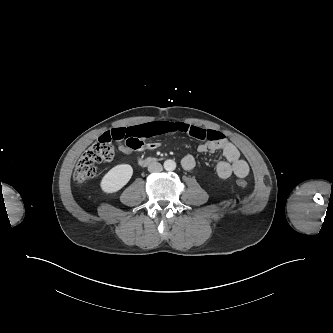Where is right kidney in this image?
<instances>
[{"mask_svg": "<svg viewBox=\"0 0 333 333\" xmlns=\"http://www.w3.org/2000/svg\"><path fill=\"white\" fill-rule=\"evenodd\" d=\"M133 175L129 164H120L111 168L102 178L100 186L104 193L111 194L124 187Z\"/></svg>", "mask_w": 333, "mask_h": 333, "instance_id": "ca27d5eb", "label": "right kidney"}]
</instances>
